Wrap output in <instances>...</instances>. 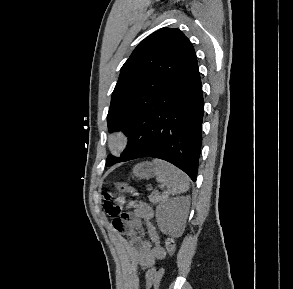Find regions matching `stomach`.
<instances>
[{
    "label": "stomach",
    "instance_id": "0dacf381",
    "mask_svg": "<svg viewBox=\"0 0 293 289\" xmlns=\"http://www.w3.org/2000/svg\"><path fill=\"white\" fill-rule=\"evenodd\" d=\"M133 175L139 179H149L156 175V171L153 163L146 161L134 166Z\"/></svg>",
    "mask_w": 293,
    "mask_h": 289
}]
</instances>
